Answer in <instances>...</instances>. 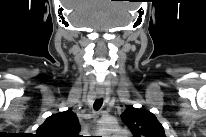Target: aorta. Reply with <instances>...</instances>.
Wrapping results in <instances>:
<instances>
[{
    "label": "aorta",
    "mask_w": 206,
    "mask_h": 137,
    "mask_svg": "<svg viewBox=\"0 0 206 137\" xmlns=\"http://www.w3.org/2000/svg\"><path fill=\"white\" fill-rule=\"evenodd\" d=\"M108 130L110 133H119V129H118L117 125H115V124L111 127V129H108Z\"/></svg>",
    "instance_id": "aorta-1"
}]
</instances>
